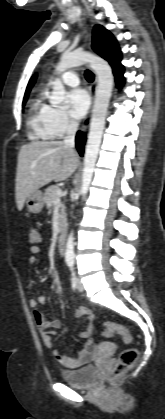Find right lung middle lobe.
Returning <instances> with one entry per match:
<instances>
[{
    "mask_svg": "<svg viewBox=\"0 0 165 419\" xmlns=\"http://www.w3.org/2000/svg\"><path fill=\"white\" fill-rule=\"evenodd\" d=\"M27 97H28V96L24 97V100H23V105H24V104H25V102L27 101Z\"/></svg>",
    "mask_w": 165,
    "mask_h": 419,
    "instance_id": "dd1d6c3e",
    "label": "right lung middle lobe"
}]
</instances>
